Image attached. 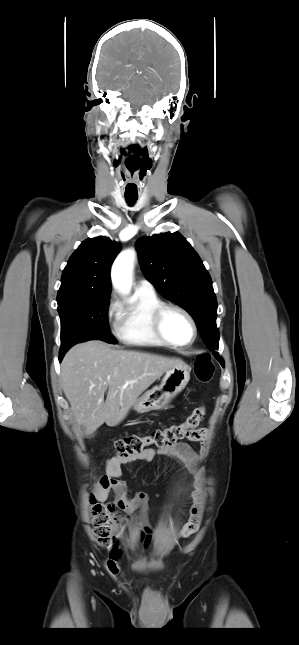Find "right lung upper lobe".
<instances>
[{
    "instance_id": "obj_1",
    "label": "right lung upper lobe",
    "mask_w": 299,
    "mask_h": 645,
    "mask_svg": "<svg viewBox=\"0 0 299 645\" xmlns=\"http://www.w3.org/2000/svg\"><path fill=\"white\" fill-rule=\"evenodd\" d=\"M121 244L104 236L81 243L63 270L58 304L71 298L110 295V269Z\"/></svg>"
}]
</instances>
